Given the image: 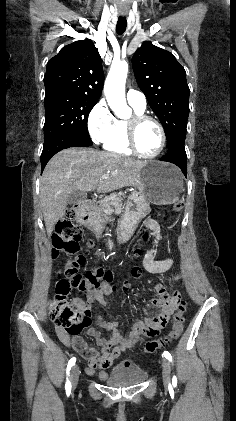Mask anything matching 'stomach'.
I'll return each instance as SVG.
<instances>
[{"label":"stomach","instance_id":"obj_1","mask_svg":"<svg viewBox=\"0 0 236 421\" xmlns=\"http://www.w3.org/2000/svg\"><path fill=\"white\" fill-rule=\"evenodd\" d=\"M139 190H134L125 204V211L118 221L119 243H126L134 235L140 221L149 215L150 202L173 204L183 186L182 174L176 166L160 160H144L139 172Z\"/></svg>","mask_w":236,"mask_h":421}]
</instances>
